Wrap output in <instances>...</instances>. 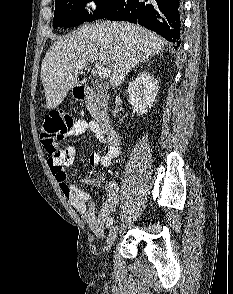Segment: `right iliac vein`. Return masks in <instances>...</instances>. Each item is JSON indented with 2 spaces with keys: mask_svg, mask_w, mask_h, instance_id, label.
Returning a JSON list of instances; mask_svg holds the SVG:
<instances>
[{
  "mask_svg": "<svg viewBox=\"0 0 233 294\" xmlns=\"http://www.w3.org/2000/svg\"><path fill=\"white\" fill-rule=\"evenodd\" d=\"M117 234H118V226L117 225H113L109 231V234H108V238H107V251L109 252L111 246L113 245L116 237H117Z\"/></svg>",
  "mask_w": 233,
  "mask_h": 294,
  "instance_id": "right-iliac-vein-1",
  "label": "right iliac vein"
}]
</instances>
